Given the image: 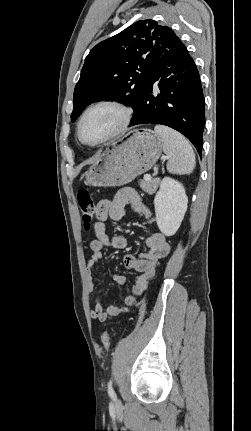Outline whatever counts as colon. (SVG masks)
<instances>
[{
  "label": "colon",
  "instance_id": "1",
  "mask_svg": "<svg viewBox=\"0 0 251 431\" xmlns=\"http://www.w3.org/2000/svg\"><path fill=\"white\" fill-rule=\"evenodd\" d=\"M77 203L80 209L81 217L86 228L96 216V207L94 200L87 189H79L77 192ZM101 343L105 350H108L111 344L110 332L105 331L101 336Z\"/></svg>",
  "mask_w": 251,
  "mask_h": 431
}]
</instances>
